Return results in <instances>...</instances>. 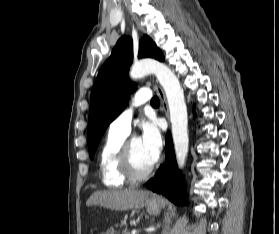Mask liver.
Returning a JSON list of instances; mask_svg holds the SVG:
<instances>
[{
	"mask_svg": "<svg viewBox=\"0 0 279 234\" xmlns=\"http://www.w3.org/2000/svg\"><path fill=\"white\" fill-rule=\"evenodd\" d=\"M148 196V191L134 189L96 191L87 200L86 205H98L115 211H126L143 203Z\"/></svg>",
	"mask_w": 279,
	"mask_h": 234,
	"instance_id": "obj_1",
	"label": "liver"
}]
</instances>
